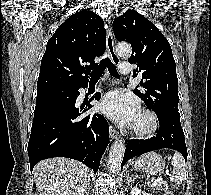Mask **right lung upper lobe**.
Wrapping results in <instances>:
<instances>
[{
	"label": "right lung upper lobe",
	"mask_w": 211,
	"mask_h": 195,
	"mask_svg": "<svg viewBox=\"0 0 211 195\" xmlns=\"http://www.w3.org/2000/svg\"><path fill=\"white\" fill-rule=\"evenodd\" d=\"M106 48L102 19L92 11L71 15L47 42L37 82V94L88 83L95 57Z\"/></svg>",
	"instance_id": "cb5924a9"
}]
</instances>
